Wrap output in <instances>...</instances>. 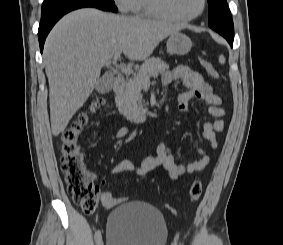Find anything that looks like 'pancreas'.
<instances>
[{
  "instance_id": "1",
  "label": "pancreas",
  "mask_w": 283,
  "mask_h": 245,
  "mask_svg": "<svg viewBox=\"0 0 283 245\" xmlns=\"http://www.w3.org/2000/svg\"><path fill=\"white\" fill-rule=\"evenodd\" d=\"M169 69L163 60L149 58L140 67L132 78L127 79L124 91L117 98L119 112L128 120L133 121L145 113L143 108L142 89L145 85L144 79L156 76Z\"/></svg>"
}]
</instances>
